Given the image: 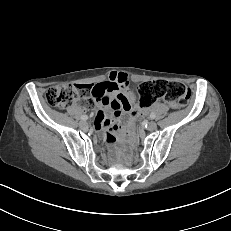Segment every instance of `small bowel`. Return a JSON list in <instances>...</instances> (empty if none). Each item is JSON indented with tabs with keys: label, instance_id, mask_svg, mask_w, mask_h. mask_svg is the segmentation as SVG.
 <instances>
[{
	"label": "small bowel",
	"instance_id": "small-bowel-1",
	"mask_svg": "<svg viewBox=\"0 0 231 231\" xmlns=\"http://www.w3.org/2000/svg\"><path fill=\"white\" fill-rule=\"evenodd\" d=\"M92 97L99 99L102 108L98 111L95 130L108 131L107 139L113 142L118 131V119L122 112H136L134 96L124 73H112L107 81L90 85ZM119 91L116 96H111Z\"/></svg>",
	"mask_w": 231,
	"mask_h": 231
}]
</instances>
